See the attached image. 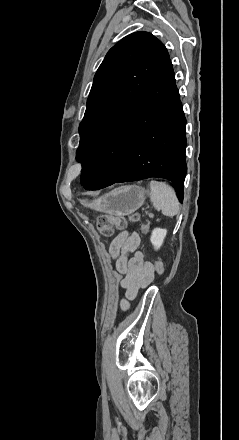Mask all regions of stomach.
Segmentation results:
<instances>
[{"label":"stomach","instance_id":"1","mask_svg":"<svg viewBox=\"0 0 239 440\" xmlns=\"http://www.w3.org/2000/svg\"><path fill=\"white\" fill-rule=\"evenodd\" d=\"M146 194L147 190L140 186H120L97 200H81V204L85 208L110 216H129L143 206Z\"/></svg>","mask_w":239,"mask_h":440}]
</instances>
